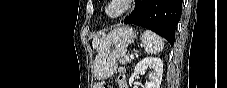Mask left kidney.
<instances>
[{
    "instance_id": "left-kidney-1",
    "label": "left kidney",
    "mask_w": 227,
    "mask_h": 88,
    "mask_svg": "<svg viewBox=\"0 0 227 88\" xmlns=\"http://www.w3.org/2000/svg\"><path fill=\"white\" fill-rule=\"evenodd\" d=\"M148 68L152 69L153 72L149 76L150 81L145 83V88H160L163 74V62L160 58L153 57H147L135 66L134 73L129 79L130 86L134 81V77Z\"/></svg>"
}]
</instances>
